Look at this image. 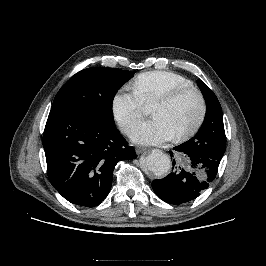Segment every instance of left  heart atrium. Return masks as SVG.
Segmentation results:
<instances>
[{
    "instance_id": "1",
    "label": "left heart atrium",
    "mask_w": 266,
    "mask_h": 266,
    "mask_svg": "<svg viewBox=\"0 0 266 266\" xmlns=\"http://www.w3.org/2000/svg\"><path fill=\"white\" fill-rule=\"evenodd\" d=\"M131 139L139 144H161L175 137L171 127L161 118L142 122L134 126Z\"/></svg>"
}]
</instances>
